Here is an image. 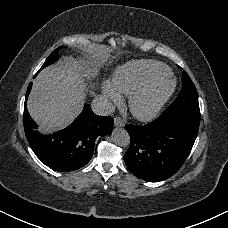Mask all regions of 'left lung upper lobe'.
Masks as SVG:
<instances>
[{"label": "left lung upper lobe", "instance_id": "1", "mask_svg": "<svg viewBox=\"0 0 228 228\" xmlns=\"http://www.w3.org/2000/svg\"><path fill=\"white\" fill-rule=\"evenodd\" d=\"M160 117L163 120L200 122L197 91L194 83L186 72H183L182 75V90L175 101L160 115Z\"/></svg>", "mask_w": 228, "mask_h": 228}]
</instances>
